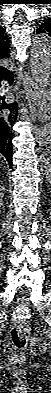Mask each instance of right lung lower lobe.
<instances>
[{
	"label": "right lung lower lobe",
	"instance_id": "obj_1",
	"mask_svg": "<svg viewBox=\"0 0 51 393\" xmlns=\"http://www.w3.org/2000/svg\"><path fill=\"white\" fill-rule=\"evenodd\" d=\"M3 79H9L10 84L13 82L12 72H9ZM2 80V79H1ZM4 109L11 112L17 110V103L5 102V96L0 92V154L7 159L10 167H12V127L16 121L13 113H6Z\"/></svg>",
	"mask_w": 51,
	"mask_h": 393
}]
</instances>
